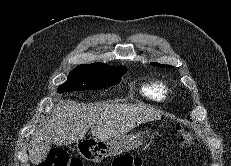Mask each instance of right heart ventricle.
I'll return each mask as SVG.
<instances>
[{
    "mask_svg": "<svg viewBox=\"0 0 231 166\" xmlns=\"http://www.w3.org/2000/svg\"><path fill=\"white\" fill-rule=\"evenodd\" d=\"M141 94L155 101H161L166 97V91L163 84L159 81H148L141 86Z\"/></svg>",
    "mask_w": 231,
    "mask_h": 166,
    "instance_id": "e07e8e85",
    "label": "right heart ventricle"
}]
</instances>
